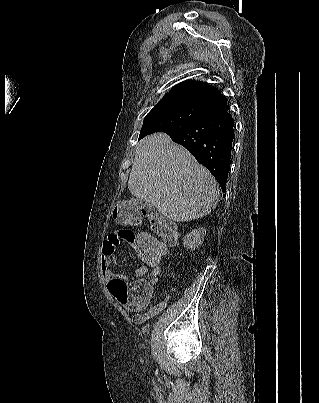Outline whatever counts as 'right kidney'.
Masks as SVG:
<instances>
[{
  "label": "right kidney",
  "instance_id": "obj_1",
  "mask_svg": "<svg viewBox=\"0 0 319 403\" xmlns=\"http://www.w3.org/2000/svg\"><path fill=\"white\" fill-rule=\"evenodd\" d=\"M206 230L203 228L194 229L183 238V245L187 249L198 248L204 241Z\"/></svg>",
  "mask_w": 319,
  "mask_h": 403
}]
</instances>
